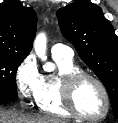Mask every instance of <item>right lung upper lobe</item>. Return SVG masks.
<instances>
[{"label":"right lung upper lobe","mask_w":118,"mask_h":123,"mask_svg":"<svg viewBox=\"0 0 118 123\" xmlns=\"http://www.w3.org/2000/svg\"><path fill=\"white\" fill-rule=\"evenodd\" d=\"M37 16L33 8L18 0L0 4V53L27 57L36 33Z\"/></svg>","instance_id":"obj_1"}]
</instances>
